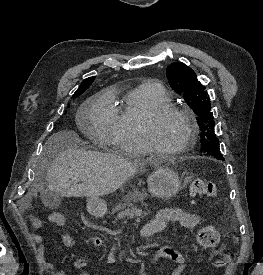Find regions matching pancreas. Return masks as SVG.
<instances>
[{
  "instance_id": "cf45deb5",
  "label": "pancreas",
  "mask_w": 263,
  "mask_h": 275,
  "mask_svg": "<svg viewBox=\"0 0 263 275\" xmlns=\"http://www.w3.org/2000/svg\"><path fill=\"white\" fill-rule=\"evenodd\" d=\"M146 197V194L141 193V192H134L132 194H129L123 201V203L119 204L117 206V208L115 209V211H119V213L117 214V216L115 217V220H121L124 218H130V219H134V218H144L145 216L148 215V211L147 212H143L141 209L137 208L136 206H134L131 202H137V201H141L143 202V199Z\"/></svg>"
}]
</instances>
